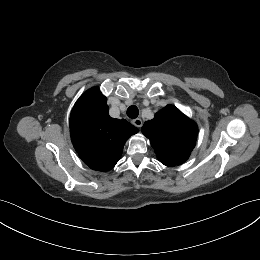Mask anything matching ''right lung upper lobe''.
I'll return each instance as SVG.
<instances>
[{
    "label": "right lung upper lobe",
    "instance_id": "cb5924a9",
    "mask_svg": "<svg viewBox=\"0 0 260 260\" xmlns=\"http://www.w3.org/2000/svg\"><path fill=\"white\" fill-rule=\"evenodd\" d=\"M106 97L97 87L87 90L70 115V135L82 161L93 170L109 171L118 162L125 142L139 130L125 119L108 114Z\"/></svg>",
    "mask_w": 260,
    "mask_h": 260
}]
</instances>
